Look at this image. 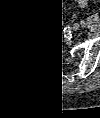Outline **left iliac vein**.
Masks as SVG:
<instances>
[{"label":"left iliac vein","mask_w":100,"mask_h":118,"mask_svg":"<svg viewBox=\"0 0 100 118\" xmlns=\"http://www.w3.org/2000/svg\"><path fill=\"white\" fill-rule=\"evenodd\" d=\"M80 29V25L79 24H74L72 27L73 31H78Z\"/></svg>","instance_id":"left-iliac-vein-1"}]
</instances>
